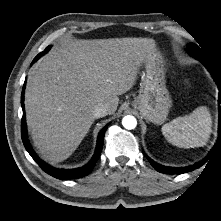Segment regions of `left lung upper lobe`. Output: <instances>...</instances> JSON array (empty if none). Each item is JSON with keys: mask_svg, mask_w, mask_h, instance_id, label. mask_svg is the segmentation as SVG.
I'll list each match as a JSON object with an SVG mask.
<instances>
[{"mask_svg": "<svg viewBox=\"0 0 221 221\" xmlns=\"http://www.w3.org/2000/svg\"><path fill=\"white\" fill-rule=\"evenodd\" d=\"M188 52H189L192 56L198 58L200 61H201L202 59H205V56H204L203 51H202L196 44H194V43H191V44L189 45V47H188Z\"/></svg>", "mask_w": 221, "mask_h": 221, "instance_id": "left-lung-upper-lobe-1", "label": "left lung upper lobe"}]
</instances>
